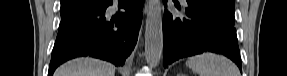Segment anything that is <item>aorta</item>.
<instances>
[{
  "mask_svg": "<svg viewBox=\"0 0 287 76\" xmlns=\"http://www.w3.org/2000/svg\"><path fill=\"white\" fill-rule=\"evenodd\" d=\"M163 52L162 15L159 0L150 8L145 28V57L150 67H156Z\"/></svg>",
  "mask_w": 287,
  "mask_h": 76,
  "instance_id": "aorta-1",
  "label": "aorta"
}]
</instances>
